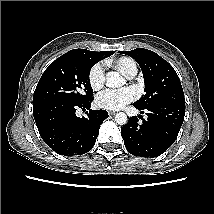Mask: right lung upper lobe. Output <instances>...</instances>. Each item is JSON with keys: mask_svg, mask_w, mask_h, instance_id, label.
I'll return each mask as SVG.
<instances>
[{"mask_svg": "<svg viewBox=\"0 0 214 214\" xmlns=\"http://www.w3.org/2000/svg\"><path fill=\"white\" fill-rule=\"evenodd\" d=\"M79 50H83V51H87V52L91 53L99 61L104 59V58H107V57L111 56L114 53V51L93 52V51H89V50H86V49H73L71 51H79Z\"/></svg>", "mask_w": 214, "mask_h": 214, "instance_id": "cb5924a9", "label": "right lung upper lobe"}]
</instances>
